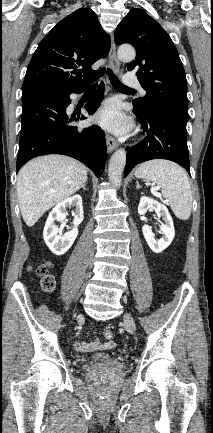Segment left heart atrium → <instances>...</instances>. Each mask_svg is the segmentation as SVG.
<instances>
[{"label":"left heart atrium","instance_id":"left-heart-atrium-1","mask_svg":"<svg viewBox=\"0 0 213 433\" xmlns=\"http://www.w3.org/2000/svg\"><path fill=\"white\" fill-rule=\"evenodd\" d=\"M95 119L101 126L116 134H123L130 128L129 121L121 113L118 104L113 101L104 104Z\"/></svg>","mask_w":213,"mask_h":433}]
</instances>
